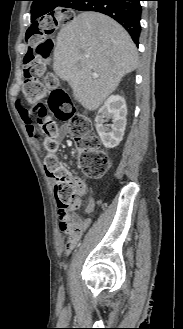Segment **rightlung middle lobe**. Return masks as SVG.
<instances>
[{
    "mask_svg": "<svg viewBox=\"0 0 183 329\" xmlns=\"http://www.w3.org/2000/svg\"><path fill=\"white\" fill-rule=\"evenodd\" d=\"M54 13V12H53ZM51 15H53V14H51ZM30 35H27V37L26 38H28Z\"/></svg>",
    "mask_w": 183,
    "mask_h": 329,
    "instance_id": "dd1d6c3e",
    "label": "right lung middle lobe"
}]
</instances>
